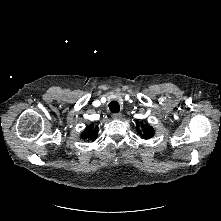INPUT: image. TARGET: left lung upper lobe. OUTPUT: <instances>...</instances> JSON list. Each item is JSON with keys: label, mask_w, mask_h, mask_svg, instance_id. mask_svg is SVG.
I'll use <instances>...</instances> for the list:
<instances>
[{"label": "left lung upper lobe", "mask_w": 221, "mask_h": 221, "mask_svg": "<svg viewBox=\"0 0 221 221\" xmlns=\"http://www.w3.org/2000/svg\"><path fill=\"white\" fill-rule=\"evenodd\" d=\"M138 125V124H137ZM138 132L140 133L141 137L144 139H149L153 137L155 134V130L149 124H141L140 128L137 127Z\"/></svg>", "instance_id": "1"}]
</instances>
